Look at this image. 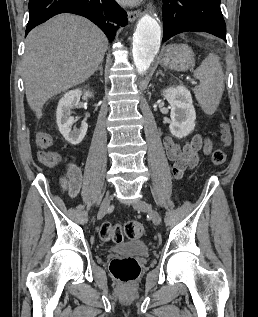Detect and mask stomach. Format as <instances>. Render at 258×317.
Masks as SVG:
<instances>
[{
  "instance_id": "1",
  "label": "stomach",
  "mask_w": 258,
  "mask_h": 317,
  "mask_svg": "<svg viewBox=\"0 0 258 317\" xmlns=\"http://www.w3.org/2000/svg\"><path fill=\"white\" fill-rule=\"evenodd\" d=\"M160 62L171 70H188L194 66V52L188 44H168L160 52Z\"/></svg>"
}]
</instances>
